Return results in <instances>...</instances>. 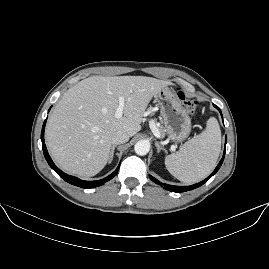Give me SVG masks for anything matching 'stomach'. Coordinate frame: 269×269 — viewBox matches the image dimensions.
<instances>
[{
  "mask_svg": "<svg viewBox=\"0 0 269 269\" xmlns=\"http://www.w3.org/2000/svg\"><path fill=\"white\" fill-rule=\"evenodd\" d=\"M155 101L160 105L164 130L169 140L176 145L183 143L191 133L192 123L179 98L166 87L155 95Z\"/></svg>",
  "mask_w": 269,
  "mask_h": 269,
  "instance_id": "1",
  "label": "stomach"
}]
</instances>
